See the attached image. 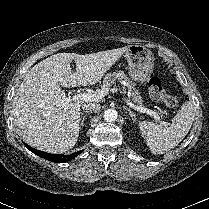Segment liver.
Instances as JSON below:
<instances>
[{"instance_id":"6515ba94","label":"liver","mask_w":209,"mask_h":209,"mask_svg":"<svg viewBox=\"0 0 209 209\" xmlns=\"http://www.w3.org/2000/svg\"><path fill=\"white\" fill-rule=\"evenodd\" d=\"M129 46L92 54H54L26 74L12 102L14 124L23 140L45 152L72 149L80 130L83 101L67 98L64 87L93 85L118 61ZM76 72L71 70V61Z\"/></svg>"}]
</instances>
